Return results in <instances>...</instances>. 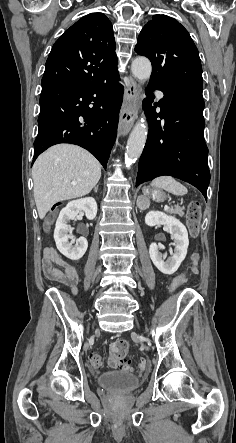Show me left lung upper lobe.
Here are the masks:
<instances>
[{
    "instance_id": "1",
    "label": "left lung upper lobe",
    "mask_w": 236,
    "mask_h": 443,
    "mask_svg": "<svg viewBox=\"0 0 236 443\" xmlns=\"http://www.w3.org/2000/svg\"><path fill=\"white\" fill-rule=\"evenodd\" d=\"M135 51L152 63L150 81L203 85L199 52L187 30L167 15H154L141 30Z\"/></svg>"
}]
</instances>
